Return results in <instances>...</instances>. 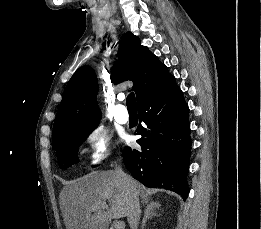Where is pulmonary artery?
I'll return each mask as SVG.
<instances>
[{
	"label": "pulmonary artery",
	"instance_id": "e3ab8cb5",
	"mask_svg": "<svg viewBox=\"0 0 261 229\" xmlns=\"http://www.w3.org/2000/svg\"><path fill=\"white\" fill-rule=\"evenodd\" d=\"M118 99L122 101L123 97L119 96ZM114 116L115 119L120 123H126L129 120V114L126 107L120 103H118L115 107Z\"/></svg>",
	"mask_w": 261,
	"mask_h": 229
}]
</instances>
